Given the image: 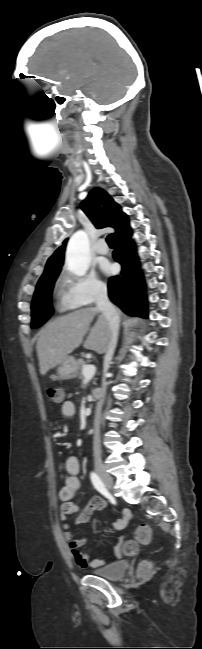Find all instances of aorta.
I'll use <instances>...</instances> for the list:
<instances>
[{
  "instance_id": "762f6f07",
  "label": "aorta",
  "mask_w": 202,
  "mask_h": 649,
  "mask_svg": "<svg viewBox=\"0 0 202 649\" xmlns=\"http://www.w3.org/2000/svg\"><path fill=\"white\" fill-rule=\"evenodd\" d=\"M90 263L89 239L84 231H77L69 240L66 251V267L78 276L86 274Z\"/></svg>"
}]
</instances>
